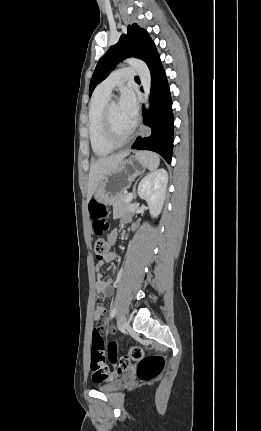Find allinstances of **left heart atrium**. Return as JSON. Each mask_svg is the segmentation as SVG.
I'll return each instance as SVG.
<instances>
[{
	"label": "left heart atrium",
	"instance_id": "39dd6f15",
	"mask_svg": "<svg viewBox=\"0 0 261 431\" xmlns=\"http://www.w3.org/2000/svg\"><path fill=\"white\" fill-rule=\"evenodd\" d=\"M119 108L126 120L133 127L137 120L138 104L132 90L124 89L122 91L119 100Z\"/></svg>",
	"mask_w": 261,
	"mask_h": 431
}]
</instances>
